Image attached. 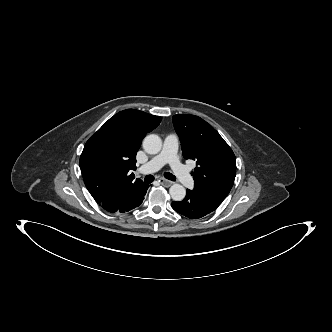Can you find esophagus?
I'll use <instances>...</instances> for the list:
<instances>
[{
    "label": "esophagus",
    "mask_w": 332,
    "mask_h": 332,
    "mask_svg": "<svg viewBox=\"0 0 332 332\" xmlns=\"http://www.w3.org/2000/svg\"><path fill=\"white\" fill-rule=\"evenodd\" d=\"M159 182H160L163 186H166V187H168V186H170V185L172 184L171 181H169V180H167V179H164V178H160V179H159Z\"/></svg>",
    "instance_id": "esophagus-1"
}]
</instances>
